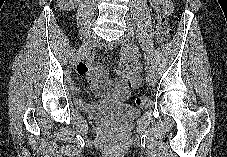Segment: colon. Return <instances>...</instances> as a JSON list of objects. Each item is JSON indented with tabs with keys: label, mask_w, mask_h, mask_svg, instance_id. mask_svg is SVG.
<instances>
[{
	"label": "colon",
	"mask_w": 227,
	"mask_h": 157,
	"mask_svg": "<svg viewBox=\"0 0 227 157\" xmlns=\"http://www.w3.org/2000/svg\"><path fill=\"white\" fill-rule=\"evenodd\" d=\"M155 36L160 41H165L169 36V27L163 14H157L154 20ZM150 104V99L147 96H139L136 98V105L139 108H147Z\"/></svg>",
	"instance_id": "1"
}]
</instances>
